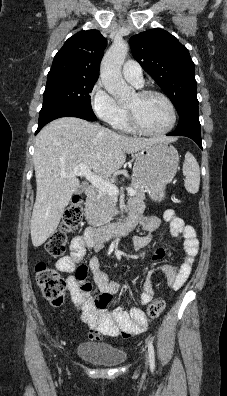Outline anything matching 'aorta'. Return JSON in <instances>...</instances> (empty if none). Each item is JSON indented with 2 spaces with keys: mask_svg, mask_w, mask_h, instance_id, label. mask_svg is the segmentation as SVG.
Returning a JSON list of instances; mask_svg holds the SVG:
<instances>
[{
  "mask_svg": "<svg viewBox=\"0 0 227 396\" xmlns=\"http://www.w3.org/2000/svg\"><path fill=\"white\" fill-rule=\"evenodd\" d=\"M128 52V45L124 41H114L101 62L100 75L107 92L118 103L126 102L132 91L121 74V66Z\"/></svg>",
  "mask_w": 227,
  "mask_h": 396,
  "instance_id": "762f6f07",
  "label": "aorta"
}]
</instances>
